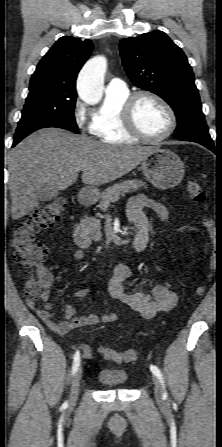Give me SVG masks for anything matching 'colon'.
I'll return each mask as SVG.
<instances>
[{
  "instance_id": "obj_1",
  "label": "colon",
  "mask_w": 222,
  "mask_h": 447,
  "mask_svg": "<svg viewBox=\"0 0 222 447\" xmlns=\"http://www.w3.org/2000/svg\"><path fill=\"white\" fill-rule=\"evenodd\" d=\"M186 191L188 196L197 205L205 201V193L202 185L196 179H190ZM67 207L65 198H57L48 202L43 207L25 216L16 227L12 237V260L21 270V276L25 279L24 294L27 302H37L40 298L44 284L49 278L48 271L42 266L47 258L48 247L42 243L36 234L45 228L57 224ZM203 225L212 240L216 237V226L213 219L207 215L203 217ZM216 267V256L213 249L209 260V269ZM203 288L197 290L198 295L203 294ZM104 359L116 363H131L137 360L138 352L135 349L116 351L112 348L101 347L99 350Z\"/></svg>"
}]
</instances>
